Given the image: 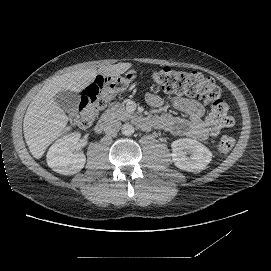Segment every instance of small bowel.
<instances>
[{
  "mask_svg": "<svg viewBox=\"0 0 271 271\" xmlns=\"http://www.w3.org/2000/svg\"><path fill=\"white\" fill-rule=\"evenodd\" d=\"M147 103L152 107H160L166 101L159 95L148 93ZM172 107L183 112L187 117L180 118L164 114L155 119V124L169 132L172 136H187L197 140H206L210 133L203 121L204 106L197 100L186 97H174L167 101Z\"/></svg>",
  "mask_w": 271,
  "mask_h": 271,
  "instance_id": "small-bowel-1",
  "label": "small bowel"
}]
</instances>
